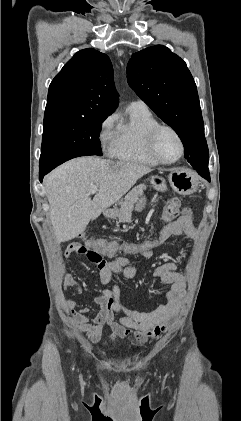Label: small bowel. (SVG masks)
I'll list each match as a JSON object with an SVG mask.
<instances>
[{"instance_id": "1", "label": "small bowel", "mask_w": 241, "mask_h": 421, "mask_svg": "<svg viewBox=\"0 0 241 421\" xmlns=\"http://www.w3.org/2000/svg\"><path fill=\"white\" fill-rule=\"evenodd\" d=\"M159 233L163 241L171 237H193L196 231L191 210L185 209L177 219L162 227ZM71 254L68 246L65 257L69 258ZM140 255L143 260H147L151 257V252ZM98 267L100 283L104 286L112 284L110 289L103 288L94 296L95 303L100 307L99 312L90 317L87 307L75 310V298L65 303L75 329L84 333L91 342L98 343L103 339L105 324L113 332L104 339L106 344H113L118 338H133L139 343H144L150 337H158L165 333L174 324L186 286L185 278L176 271L175 263L165 262L154 270V276L170 289L166 293V303L150 312L130 309L121 301V287L113 279L114 274L122 273L124 277L132 278L137 271V267L131 265L126 257L117 256ZM69 287H75L77 295L82 292L80 284L72 275H67L63 280V289L67 290Z\"/></svg>"}]
</instances>
